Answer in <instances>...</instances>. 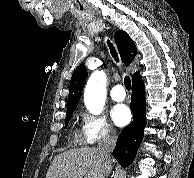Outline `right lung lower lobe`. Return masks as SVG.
<instances>
[{"label": "right lung lower lobe", "mask_w": 194, "mask_h": 178, "mask_svg": "<svg viewBox=\"0 0 194 178\" xmlns=\"http://www.w3.org/2000/svg\"><path fill=\"white\" fill-rule=\"evenodd\" d=\"M130 108L133 113V121L122 130L113 151V156L123 167L129 166L133 161L146 126L145 90L141 77L132 82Z\"/></svg>", "instance_id": "right-lung-lower-lobe-1"}]
</instances>
